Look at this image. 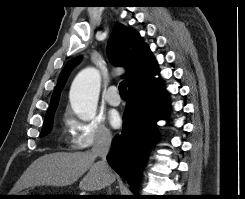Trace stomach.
I'll return each instance as SVG.
<instances>
[{
  "label": "stomach",
  "instance_id": "1",
  "mask_svg": "<svg viewBox=\"0 0 245 199\" xmlns=\"http://www.w3.org/2000/svg\"><path fill=\"white\" fill-rule=\"evenodd\" d=\"M11 195H31L28 192H17L15 194H11ZM13 199H27L30 198L28 196H12Z\"/></svg>",
  "mask_w": 245,
  "mask_h": 199
}]
</instances>
